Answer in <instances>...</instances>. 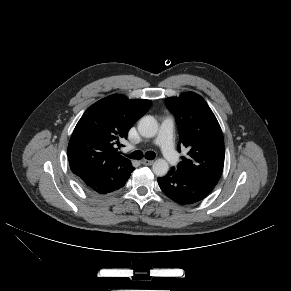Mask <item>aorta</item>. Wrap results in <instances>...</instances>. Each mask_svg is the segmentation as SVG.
<instances>
[{"instance_id": "aorta-1", "label": "aorta", "mask_w": 291, "mask_h": 291, "mask_svg": "<svg viewBox=\"0 0 291 291\" xmlns=\"http://www.w3.org/2000/svg\"><path fill=\"white\" fill-rule=\"evenodd\" d=\"M138 131L140 135L145 138L154 137L158 131V123L156 119L150 115L142 117L138 123ZM152 170L155 175L162 177L167 174L169 164L164 159H157L152 166Z\"/></svg>"}]
</instances>
